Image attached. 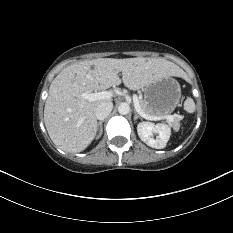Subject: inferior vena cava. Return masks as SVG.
Wrapping results in <instances>:
<instances>
[{"instance_id":"inferior-vena-cava-1","label":"inferior vena cava","mask_w":233,"mask_h":233,"mask_svg":"<svg viewBox=\"0 0 233 233\" xmlns=\"http://www.w3.org/2000/svg\"><path fill=\"white\" fill-rule=\"evenodd\" d=\"M113 104L111 102H102L96 108V118L98 120H104L111 113Z\"/></svg>"}]
</instances>
